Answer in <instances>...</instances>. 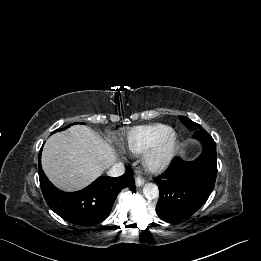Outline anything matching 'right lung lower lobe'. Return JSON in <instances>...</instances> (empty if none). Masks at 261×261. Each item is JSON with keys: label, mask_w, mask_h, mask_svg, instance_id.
<instances>
[{"label": "right lung lower lobe", "mask_w": 261, "mask_h": 261, "mask_svg": "<svg viewBox=\"0 0 261 261\" xmlns=\"http://www.w3.org/2000/svg\"><path fill=\"white\" fill-rule=\"evenodd\" d=\"M39 179L43 196L49 207L65 220L82 226L103 221L112 209L119 192L131 181L128 174L117 178L101 176L77 192H63L52 185L41 167L39 153Z\"/></svg>", "instance_id": "right-lung-lower-lobe-1"}]
</instances>
